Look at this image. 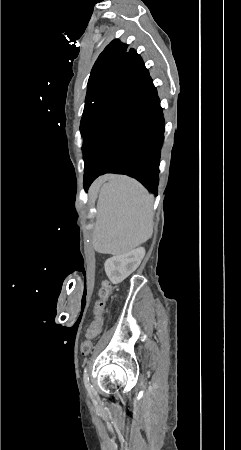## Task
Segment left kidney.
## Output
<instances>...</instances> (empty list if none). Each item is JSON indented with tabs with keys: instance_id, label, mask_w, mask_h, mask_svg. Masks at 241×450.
<instances>
[{
	"instance_id": "1",
	"label": "left kidney",
	"mask_w": 241,
	"mask_h": 450,
	"mask_svg": "<svg viewBox=\"0 0 241 450\" xmlns=\"http://www.w3.org/2000/svg\"><path fill=\"white\" fill-rule=\"evenodd\" d=\"M145 256V248H137L131 250L123 256H113L108 258L104 264L106 276H108L112 284H120L126 280L132 272L137 270Z\"/></svg>"
}]
</instances>
